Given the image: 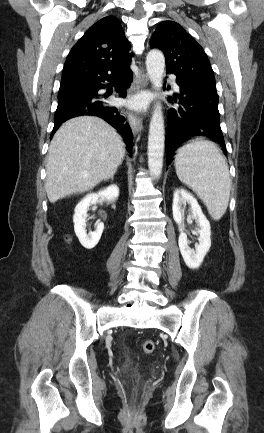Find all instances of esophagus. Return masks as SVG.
I'll use <instances>...</instances> for the list:
<instances>
[{
  "label": "esophagus",
  "instance_id": "34e87169",
  "mask_svg": "<svg viewBox=\"0 0 264 433\" xmlns=\"http://www.w3.org/2000/svg\"><path fill=\"white\" fill-rule=\"evenodd\" d=\"M149 84V78L143 70L140 71V77L134 78L130 87L129 96H132L136 91L146 88ZM128 120L134 134H137L143 129L142 118L139 114L128 113Z\"/></svg>",
  "mask_w": 264,
  "mask_h": 433
}]
</instances>
